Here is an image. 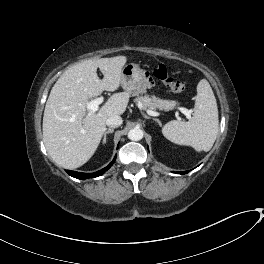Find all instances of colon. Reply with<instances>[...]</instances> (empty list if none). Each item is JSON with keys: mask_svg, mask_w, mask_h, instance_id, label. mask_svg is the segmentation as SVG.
Returning a JSON list of instances; mask_svg holds the SVG:
<instances>
[{"mask_svg": "<svg viewBox=\"0 0 264 264\" xmlns=\"http://www.w3.org/2000/svg\"><path fill=\"white\" fill-rule=\"evenodd\" d=\"M156 77L168 86L174 93H183L185 84L174 77H172L165 64H159L155 70Z\"/></svg>", "mask_w": 264, "mask_h": 264, "instance_id": "1", "label": "colon"}]
</instances>
